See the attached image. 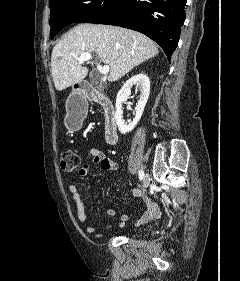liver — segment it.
Masks as SVG:
<instances>
[{
	"label": "liver",
	"mask_w": 240,
	"mask_h": 281,
	"mask_svg": "<svg viewBox=\"0 0 240 281\" xmlns=\"http://www.w3.org/2000/svg\"><path fill=\"white\" fill-rule=\"evenodd\" d=\"M83 53L96 55L109 66L114 82L144 61L155 57L157 44L142 33L109 25L79 24L54 46L51 73L57 91L80 83L88 68L79 64Z\"/></svg>",
	"instance_id": "liver-1"
}]
</instances>
